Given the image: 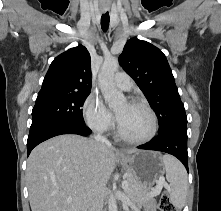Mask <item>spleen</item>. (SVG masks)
Wrapping results in <instances>:
<instances>
[{
  "label": "spleen",
  "mask_w": 221,
  "mask_h": 211,
  "mask_svg": "<svg viewBox=\"0 0 221 211\" xmlns=\"http://www.w3.org/2000/svg\"><path fill=\"white\" fill-rule=\"evenodd\" d=\"M162 161L166 171V179L170 183V202L175 208L181 209L186 203L188 192L187 172L173 156L164 155Z\"/></svg>",
  "instance_id": "1"
}]
</instances>
